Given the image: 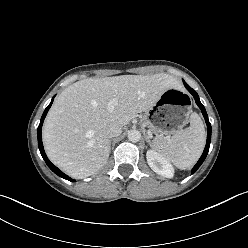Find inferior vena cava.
Instances as JSON below:
<instances>
[{
  "label": "inferior vena cava",
  "instance_id": "1",
  "mask_svg": "<svg viewBox=\"0 0 248 248\" xmlns=\"http://www.w3.org/2000/svg\"><path fill=\"white\" fill-rule=\"evenodd\" d=\"M122 133V126L118 124H111L106 129V135L108 138L117 137Z\"/></svg>",
  "mask_w": 248,
  "mask_h": 248
}]
</instances>
